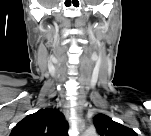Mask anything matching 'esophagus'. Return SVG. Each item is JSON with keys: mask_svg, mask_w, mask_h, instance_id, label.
I'll return each mask as SVG.
<instances>
[{"mask_svg": "<svg viewBox=\"0 0 151 136\" xmlns=\"http://www.w3.org/2000/svg\"><path fill=\"white\" fill-rule=\"evenodd\" d=\"M76 121H77L78 128L82 131L84 129V121H83L82 116L79 112L77 113Z\"/></svg>", "mask_w": 151, "mask_h": 136, "instance_id": "1", "label": "esophagus"}]
</instances>
